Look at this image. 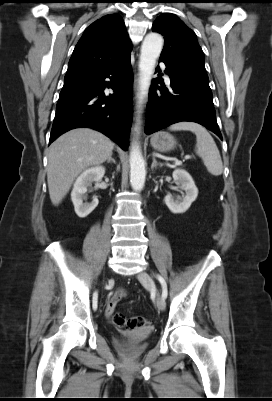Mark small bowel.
Wrapping results in <instances>:
<instances>
[{
    "label": "small bowel",
    "instance_id": "1",
    "mask_svg": "<svg viewBox=\"0 0 272 401\" xmlns=\"http://www.w3.org/2000/svg\"><path fill=\"white\" fill-rule=\"evenodd\" d=\"M122 295H123V291H116L109 297L108 302L106 304V308H105V316L108 319L112 316L114 309H115L117 303L119 302V300L121 299Z\"/></svg>",
    "mask_w": 272,
    "mask_h": 401
}]
</instances>
